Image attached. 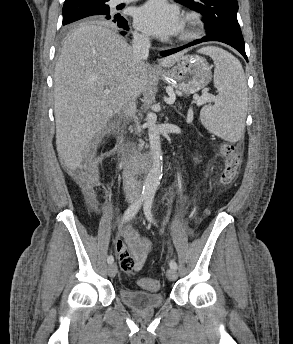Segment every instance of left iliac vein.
I'll return each mask as SVG.
<instances>
[{"instance_id": "obj_1", "label": "left iliac vein", "mask_w": 293, "mask_h": 344, "mask_svg": "<svg viewBox=\"0 0 293 344\" xmlns=\"http://www.w3.org/2000/svg\"><path fill=\"white\" fill-rule=\"evenodd\" d=\"M166 276L169 280L174 281L178 277L177 271L175 269L170 268L166 271Z\"/></svg>"}]
</instances>
